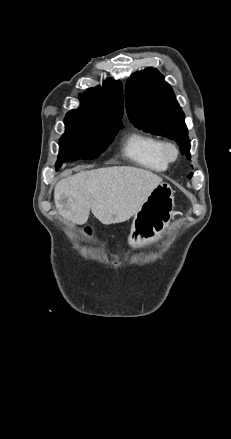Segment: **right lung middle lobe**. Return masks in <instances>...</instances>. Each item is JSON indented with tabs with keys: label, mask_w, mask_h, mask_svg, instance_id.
<instances>
[{
	"label": "right lung middle lobe",
	"mask_w": 231,
	"mask_h": 439,
	"mask_svg": "<svg viewBox=\"0 0 231 439\" xmlns=\"http://www.w3.org/2000/svg\"><path fill=\"white\" fill-rule=\"evenodd\" d=\"M64 123L66 131L60 139L56 170L65 162L97 158L121 128L80 118L65 119Z\"/></svg>",
	"instance_id": "obj_1"
}]
</instances>
